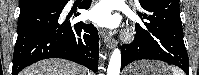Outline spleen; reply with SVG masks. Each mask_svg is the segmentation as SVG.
I'll use <instances>...</instances> for the list:
<instances>
[{
	"instance_id": "spleen-1",
	"label": "spleen",
	"mask_w": 199,
	"mask_h": 75,
	"mask_svg": "<svg viewBox=\"0 0 199 75\" xmlns=\"http://www.w3.org/2000/svg\"><path fill=\"white\" fill-rule=\"evenodd\" d=\"M172 72H173V75H183L180 70H178L177 68L175 67H172Z\"/></svg>"
}]
</instances>
